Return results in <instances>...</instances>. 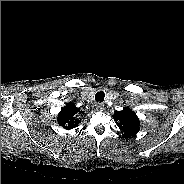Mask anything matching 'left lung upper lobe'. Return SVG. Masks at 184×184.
<instances>
[{"label": "left lung upper lobe", "mask_w": 184, "mask_h": 184, "mask_svg": "<svg viewBox=\"0 0 184 184\" xmlns=\"http://www.w3.org/2000/svg\"><path fill=\"white\" fill-rule=\"evenodd\" d=\"M113 118L117 120V126L124 132L125 137H132L139 131V118L136 113L128 107L122 111H116Z\"/></svg>", "instance_id": "1"}]
</instances>
